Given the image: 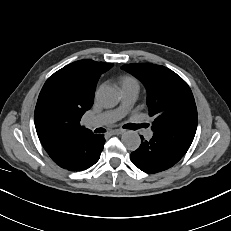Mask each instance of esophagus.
Wrapping results in <instances>:
<instances>
[{"instance_id": "1", "label": "esophagus", "mask_w": 231, "mask_h": 231, "mask_svg": "<svg viewBox=\"0 0 231 231\" xmlns=\"http://www.w3.org/2000/svg\"><path fill=\"white\" fill-rule=\"evenodd\" d=\"M124 133V130L123 129H115V130H112L109 132L110 135H119V134H122Z\"/></svg>"}]
</instances>
